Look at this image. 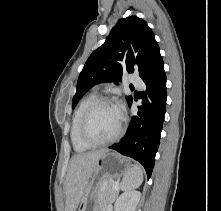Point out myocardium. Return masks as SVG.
<instances>
[{
	"mask_svg": "<svg viewBox=\"0 0 221 211\" xmlns=\"http://www.w3.org/2000/svg\"><path fill=\"white\" fill-rule=\"evenodd\" d=\"M101 105L115 106V104L110 99H108L106 97L97 98L87 107V109L85 110V112L82 116V119H81L80 136H81L82 140L90 146H103V145L113 143L122 136L124 129H125V123H126L125 116L123 115L122 112H120L121 123H120V126H119L117 132L112 137H110L106 140H101V141H97V140L92 139L88 135V131H87L89 118H90L91 114L93 113V111Z\"/></svg>",
	"mask_w": 221,
	"mask_h": 211,
	"instance_id": "f54148a6",
	"label": "myocardium"
}]
</instances>
